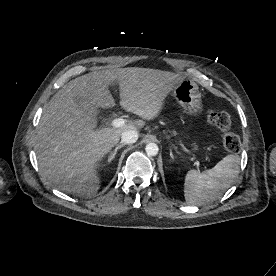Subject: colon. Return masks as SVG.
<instances>
[{
	"instance_id": "1",
	"label": "colon",
	"mask_w": 276,
	"mask_h": 276,
	"mask_svg": "<svg viewBox=\"0 0 276 276\" xmlns=\"http://www.w3.org/2000/svg\"><path fill=\"white\" fill-rule=\"evenodd\" d=\"M207 119L221 132V143L229 152H238L241 148L240 138L230 132L231 118L223 111L210 110Z\"/></svg>"
}]
</instances>
